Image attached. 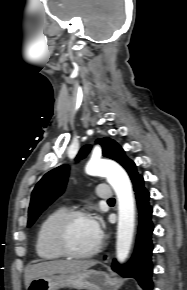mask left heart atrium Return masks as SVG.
I'll return each mask as SVG.
<instances>
[{
	"instance_id": "left-heart-atrium-1",
	"label": "left heart atrium",
	"mask_w": 187,
	"mask_h": 290,
	"mask_svg": "<svg viewBox=\"0 0 187 290\" xmlns=\"http://www.w3.org/2000/svg\"><path fill=\"white\" fill-rule=\"evenodd\" d=\"M90 219H91V224H92L94 231L100 237L101 236V225H100L99 221L95 217L90 218Z\"/></svg>"
}]
</instances>
